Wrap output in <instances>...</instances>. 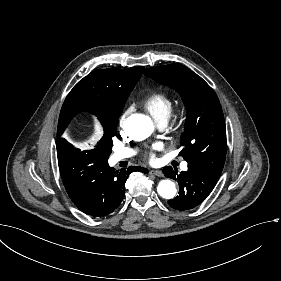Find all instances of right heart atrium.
I'll list each match as a JSON object with an SVG mask.
<instances>
[{
    "label": "right heart atrium",
    "mask_w": 281,
    "mask_h": 281,
    "mask_svg": "<svg viewBox=\"0 0 281 281\" xmlns=\"http://www.w3.org/2000/svg\"><path fill=\"white\" fill-rule=\"evenodd\" d=\"M125 119V118H124ZM124 122V121H123ZM122 125H123V123L121 124V125H119V127L121 128V130H122ZM123 131V130H122ZM141 139H143V138H140V139H137V140H141ZM134 140V139H133Z\"/></svg>",
    "instance_id": "d8ad5b80"
}]
</instances>
